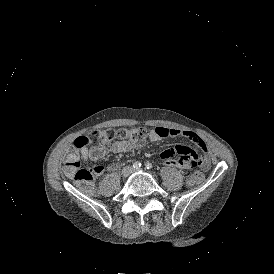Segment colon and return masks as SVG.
I'll return each mask as SVG.
<instances>
[{
    "label": "colon",
    "mask_w": 274,
    "mask_h": 274,
    "mask_svg": "<svg viewBox=\"0 0 274 274\" xmlns=\"http://www.w3.org/2000/svg\"><path fill=\"white\" fill-rule=\"evenodd\" d=\"M147 131L144 128L132 129H105L93 133L94 137H100L106 142L112 141L114 138L120 140L130 141L132 143H141L145 139ZM74 144L71 146L67 156L63 162L64 172L73 179L76 183L88 185L95 175L101 173L104 169L102 165H94L91 167H82L79 158L76 154L78 147H87L89 141L86 133H75ZM204 180V175L201 171L197 170L190 172L187 176V184L189 187L194 188L199 186Z\"/></svg>",
    "instance_id": "colon-1"
}]
</instances>
